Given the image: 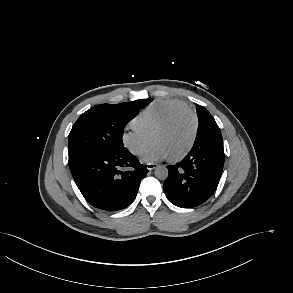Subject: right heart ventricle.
Wrapping results in <instances>:
<instances>
[{
	"label": "right heart ventricle",
	"instance_id": "1",
	"mask_svg": "<svg viewBox=\"0 0 293 293\" xmlns=\"http://www.w3.org/2000/svg\"><path fill=\"white\" fill-rule=\"evenodd\" d=\"M189 109L188 105L178 99L157 100L147 106L132 122L142 133L151 136L154 130L172 114Z\"/></svg>",
	"mask_w": 293,
	"mask_h": 293
}]
</instances>
